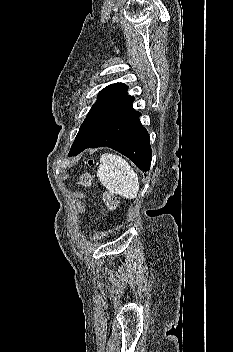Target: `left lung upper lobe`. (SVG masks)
<instances>
[{
    "mask_svg": "<svg viewBox=\"0 0 233 352\" xmlns=\"http://www.w3.org/2000/svg\"><path fill=\"white\" fill-rule=\"evenodd\" d=\"M123 83L111 84L99 92L97 102L92 106L72 144L69 154L75 153L107 128L134 111L135 98L127 93Z\"/></svg>",
    "mask_w": 233,
    "mask_h": 352,
    "instance_id": "left-lung-upper-lobe-1",
    "label": "left lung upper lobe"
}]
</instances>
